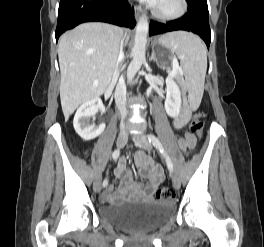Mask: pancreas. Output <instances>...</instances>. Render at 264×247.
Here are the masks:
<instances>
[{
  "label": "pancreas",
  "mask_w": 264,
  "mask_h": 247,
  "mask_svg": "<svg viewBox=\"0 0 264 247\" xmlns=\"http://www.w3.org/2000/svg\"><path fill=\"white\" fill-rule=\"evenodd\" d=\"M176 77H177V79H180L181 78L180 75H177Z\"/></svg>",
  "instance_id": "pancreas-1"
}]
</instances>
